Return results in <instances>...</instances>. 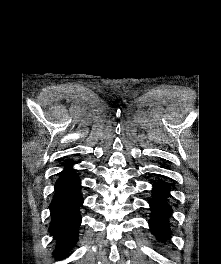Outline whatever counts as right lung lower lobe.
Wrapping results in <instances>:
<instances>
[{
  "label": "right lung lower lobe",
  "instance_id": "1",
  "mask_svg": "<svg viewBox=\"0 0 221 264\" xmlns=\"http://www.w3.org/2000/svg\"><path fill=\"white\" fill-rule=\"evenodd\" d=\"M66 168L55 184V195L50 204L52 220L49 231L57 240L54 257H64L70 247L77 242L81 217L79 208L83 203L80 192V179L72 169Z\"/></svg>",
  "mask_w": 221,
  "mask_h": 264
}]
</instances>
